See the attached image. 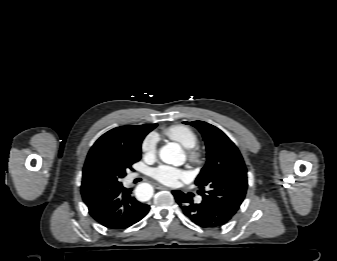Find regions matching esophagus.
Here are the masks:
<instances>
[{
	"mask_svg": "<svg viewBox=\"0 0 337 261\" xmlns=\"http://www.w3.org/2000/svg\"><path fill=\"white\" fill-rule=\"evenodd\" d=\"M156 188L159 189V190H164V189H167V187L161 185V184H155Z\"/></svg>",
	"mask_w": 337,
	"mask_h": 261,
	"instance_id": "1",
	"label": "esophagus"
}]
</instances>
